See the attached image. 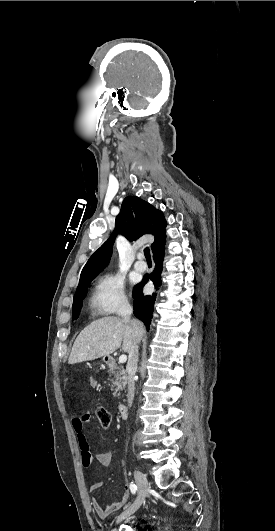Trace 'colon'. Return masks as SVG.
Segmentation results:
<instances>
[{"label": "colon", "instance_id": "5ec220e1", "mask_svg": "<svg viewBox=\"0 0 275 531\" xmlns=\"http://www.w3.org/2000/svg\"><path fill=\"white\" fill-rule=\"evenodd\" d=\"M96 414H97V419H98L99 424L103 428H108L111 424V418H110V414L108 410L105 409L104 407H98Z\"/></svg>", "mask_w": 275, "mask_h": 531}]
</instances>
